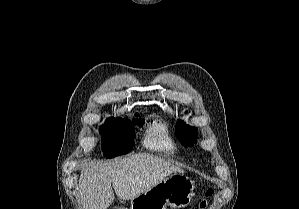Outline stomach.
<instances>
[{
    "mask_svg": "<svg viewBox=\"0 0 299 209\" xmlns=\"http://www.w3.org/2000/svg\"><path fill=\"white\" fill-rule=\"evenodd\" d=\"M194 181L181 173L166 177L157 185L131 199L130 209H183L194 196Z\"/></svg>",
    "mask_w": 299,
    "mask_h": 209,
    "instance_id": "stomach-1",
    "label": "stomach"
}]
</instances>
